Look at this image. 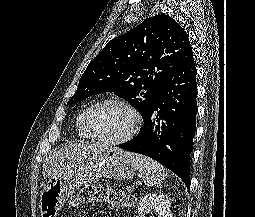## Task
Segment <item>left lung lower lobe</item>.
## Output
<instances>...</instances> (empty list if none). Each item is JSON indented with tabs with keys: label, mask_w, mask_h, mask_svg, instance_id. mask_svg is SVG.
<instances>
[{
	"label": "left lung lower lobe",
	"mask_w": 255,
	"mask_h": 217,
	"mask_svg": "<svg viewBox=\"0 0 255 217\" xmlns=\"http://www.w3.org/2000/svg\"><path fill=\"white\" fill-rule=\"evenodd\" d=\"M197 69L191 50L155 94L138 135L119 148L146 155L190 188V154L196 128Z\"/></svg>",
	"instance_id": "left-lung-lower-lobe-1"
}]
</instances>
